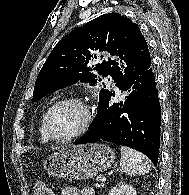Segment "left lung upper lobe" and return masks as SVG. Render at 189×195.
<instances>
[{"mask_svg": "<svg viewBox=\"0 0 189 195\" xmlns=\"http://www.w3.org/2000/svg\"><path fill=\"white\" fill-rule=\"evenodd\" d=\"M100 52L109 53L115 60L109 57L101 64L92 65L91 60H102L103 56H98ZM150 61L146 40L137 24L118 13L99 16L57 43L37 77L32 101L78 81L94 86L97 76L92 70L103 77L110 75L119 87ZM112 94L101 89L97 111Z\"/></svg>", "mask_w": 189, "mask_h": 195, "instance_id": "obj_1", "label": "left lung upper lobe"}]
</instances>
